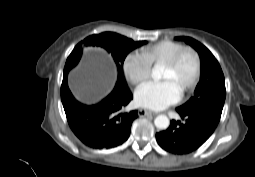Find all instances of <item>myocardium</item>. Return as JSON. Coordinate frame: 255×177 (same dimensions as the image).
Here are the masks:
<instances>
[{
	"instance_id": "obj_1",
	"label": "myocardium",
	"mask_w": 255,
	"mask_h": 177,
	"mask_svg": "<svg viewBox=\"0 0 255 177\" xmlns=\"http://www.w3.org/2000/svg\"><path fill=\"white\" fill-rule=\"evenodd\" d=\"M187 53H190L195 59V72L190 83L181 90L182 94L191 91L199 81L201 75V58L199 53L192 47L184 46L182 49L177 51L171 59L162 64L163 67L174 70L179 65L183 56Z\"/></svg>"
}]
</instances>
